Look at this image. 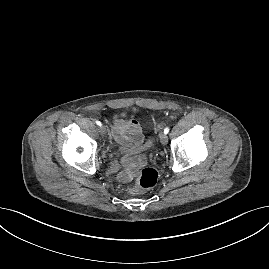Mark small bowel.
<instances>
[{
	"label": "small bowel",
	"instance_id": "small-bowel-1",
	"mask_svg": "<svg viewBox=\"0 0 269 269\" xmlns=\"http://www.w3.org/2000/svg\"><path fill=\"white\" fill-rule=\"evenodd\" d=\"M111 134L117 142L132 148L143 141L141 127L135 116L121 115L114 121ZM144 163V158L128 155L122 161L126 168L119 173V179L123 182L131 180L136 175L137 168Z\"/></svg>",
	"mask_w": 269,
	"mask_h": 269
}]
</instances>
